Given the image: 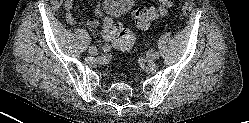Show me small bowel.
<instances>
[{"label":"small bowel","mask_w":249,"mask_h":123,"mask_svg":"<svg viewBox=\"0 0 249 123\" xmlns=\"http://www.w3.org/2000/svg\"><path fill=\"white\" fill-rule=\"evenodd\" d=\"M75 0H64V9H65V18L69 25H74L76 23V19L72 13V8L74 6ZM102 14L101 4L97 5L94 10V17H88L83 22L86 26L95 28L98 25L99 18ZM105 38V37H104ZM106 39V38H105ZM108 40V39H106Z\"/></svg>","instance_id":"c3829d8e"}]
</instances>
